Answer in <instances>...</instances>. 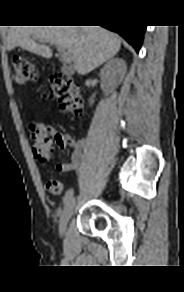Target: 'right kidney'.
<instances>
[{"instance_id": "obj_1", "label": "right kidney", "mask_w": 184, "mask_h": 292, "mask_svg": "<svg viewBox=\"0 0 184 292\" xmlns=\"http://www.w3.org/2000/svg\"><path fill=\"white\" fill-rule=\"evenodd\" d=\"M126 71V62L121 58H113L102 67L99 76L101 87L106 95L112 93L118 87Z\"/></svg>"}]
</instances>
